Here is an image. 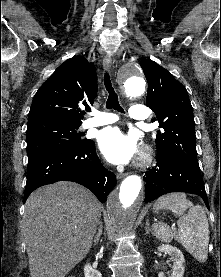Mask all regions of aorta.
I'll return each mask as SVG.
<instances>
[{"label": "aorta", "mask_w": 221, "mask_h": 277, "mask_svg": "<svg viewBox=\"0 0 221 277\" xmlns=\"http://www.w3.org/2000/svg\"><path fill=\"white\" fill-rule=\"evenodd\" d=\"M119 79L127 97L135 98L144 94L146 82L139 67L126 66L120 72ZM141 188V177L130 175L108 196L106 207L109 219L115 231L122 236L128 235L133 229L142 202Z\"/></svg>", "instance_id": "obj_1"}]
</instances>
